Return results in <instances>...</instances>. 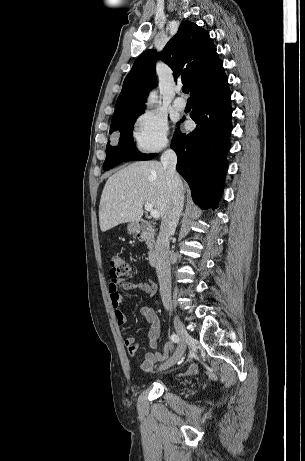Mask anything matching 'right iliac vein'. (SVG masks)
Wrapping results in <instances>:
<instances>
[{"label": "right iliac vein", "instance_id": "63e3f726", "mask_svg": "<svg viewBox=\"0 0 305 461\" xmlns=\"http://www.w3.org/2000/svg\"><path fill=\"white\" fill-rule=\"evenodd\" d=\"M173 321L175 330L180 338V345L177 351L174 353V355L160 366V370H165L176 364L178 361L182 360L186 350V346L188 342H190L192 339L187 330L185 329L183 323L177 316L173 317Z\"/></svg>", "mask_w": 305, "mask_h": 461}]
</instances>
